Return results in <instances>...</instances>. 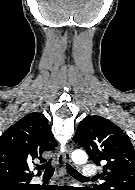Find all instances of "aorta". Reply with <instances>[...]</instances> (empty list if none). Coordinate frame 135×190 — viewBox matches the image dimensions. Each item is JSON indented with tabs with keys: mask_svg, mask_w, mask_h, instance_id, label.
<instances>
[{
	"mask_svg": "<svg viewBox=\"0 0 135 190\" xmlns=\"http://www.w3.org/2000/svg\"><path fill=\"white\" fill-rule=\"evenodd\" d=\"M72 160L76 164H84L87 161V154L82 150H76L72 153Z\"/></svg>",
	"mask_w": 135,
	"mask_h": 190,
	"instance_id": "1",
	"label": "aorta"
}]
</instances>
